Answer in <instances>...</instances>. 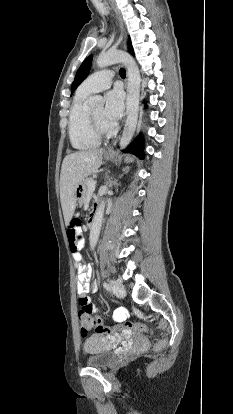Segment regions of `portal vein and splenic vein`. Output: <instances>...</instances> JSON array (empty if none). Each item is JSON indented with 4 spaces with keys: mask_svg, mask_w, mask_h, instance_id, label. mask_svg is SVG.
<instances>
[{
    "mask_svg": "<svg viewBox=\"0 0 233 414\" xmlns=\"http://www.w3.org/2000/svg\"><path fill=\"white\" fill-rule=\"evenodd\" d=\"M95 188H96V183H95L94 181L89 182V189H90L91 191H94V190H95Z\"/></svg>",
    "mask_w": 233,
    "mask_h": 414,
    "instance_id": "portal-vein-and-splenic-vein-1",
    "label": "portal vein and splenic vein"
}]
</instances>
